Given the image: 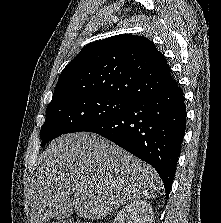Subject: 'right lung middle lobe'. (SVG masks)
Returning a JSON list of instances; mask_svg holds the SVG:
<instances>
[{
  "instance_id": "obj_1",
  "label": "right lung middle lobe",
  "mask_w": 221,
  "mask_h": 223,
  "mask_svg": "<svg viewBox=\"0 0 221 223\" xmlns=\"http://www.w3.org/2000/svg\"><path fill=\"white\" fill-rule=\"evenodd\" d=\"M132 103L102 95H84L50 103L40 131L41 146L62 134L86 131L120 114Z\"/></svg>"
}]
</instances>
